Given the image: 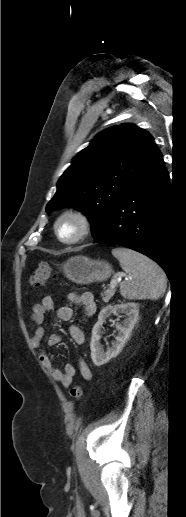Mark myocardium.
<instances>
[{"label": "myocardium", "mask_w": 186, "mask_h": 517, "mask_svg": "<svg viewBox=\"0 0 186 517\" xmlns=\"http://www.w3.org/2000/svg\"><path fill=\"white\" fill-rule=\"evenodd\" d=\"M65 219L75 220L79 225V230H78L77 234L70 239L63 238L59 232V226H60L61 222ZM90 229H91V220H90L89 216L85 212H83L82 210H79V209H67V210L63 211L57 217V219L55 220V223H54V233H55L57 239L61 243L66 244V245H73V244L80 242L89 234Z\"/></svg>", "instance_id": "1"}]
</instances>
